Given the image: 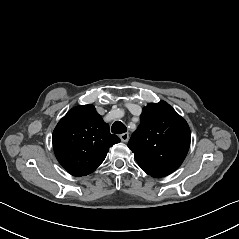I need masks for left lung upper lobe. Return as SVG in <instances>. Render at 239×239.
<instances>
[{"label": "left lung upper lobe", "instance_id": "5c2ea615", "mask_svg": "<svg viewBox=\"0 0 239 239\" xmlns=\"http://www.w3.org/2000/svg\"><path fill=\"white\" fill-rule=\"evenodd\" d=\"M191 132L187 122L166 102L149 103L143 108L140 125L128 147L139 166L153 177L167 176L185 159Z\"/></svg>", "mask_w": 239, "mask_h": 239}]
</instances>
